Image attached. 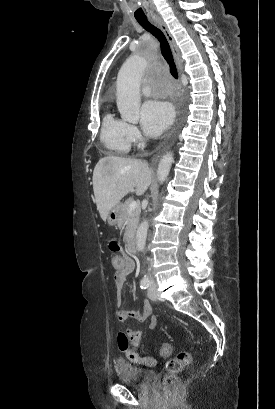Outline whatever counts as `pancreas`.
Here are the masks:
<instances>
[{
  "mask_svg": "<svg viewBox=\"0 0 275 409\" xmlns=\"http://www.w3.org/2000/svg\"><path fill=\"white\" fill-rule=\"evenodd\" d=\"M133 198H127L125 200L124 205H122V211L120 215V219L118 221V227H122L123 223L125 221H129L125 233H124V243H129L130 239H132L136 229L137 225L139 223V217H140V205H137L136 209L134 211H131L129 213V205L130 202H132Z\"/></svg>",
  "mask_w": 275,
  "mask_h": 409,
  "instance_id": "obj_1",
  "label": "pancreas"
}]
</instances>
